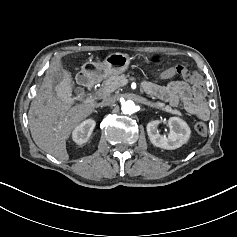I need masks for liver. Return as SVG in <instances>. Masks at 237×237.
Here are the masks:
<instances>
[{"label": "liver", "mask_w": 237, "mask_h": 237, "mask_svg": "<svg viewBox=\"0 0 237 237\" xmlns=\"http://www.w3.org/2000/svg\"><path fill=\"white\" fill-rule=\"evenodd\" d=\"M59 70L60 62H54L53 72L58 73ZM46 79L49 80V77ZM94 107V103L71 107L49 92L38 95L29 109V126L34 142L43 151L67 161L66 140L74 127L93 112Z\"/></svg>", "instance_id": "6515ba94"}]
</instances>
